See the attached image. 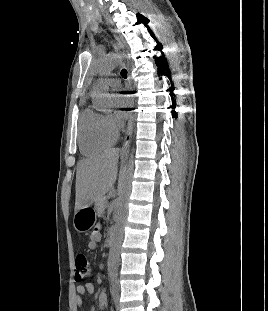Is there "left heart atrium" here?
Here are the masks:
<instances>
[{"instance_id":"1","label":"left heart atrium","mask_w":268,"mask_h":311,"mask_svg":"<svg viewBox=\"0 0 268 311\" xmlns=\"http://www.w3.org/2000/svg\"><path fill=\"white\" fill-rule=\"evenodd\" d=\"M114 97H127V95L124 94H115ZM130 102H119L118 106H125V105H129ZM122 116H124L123 114H121Z\"/></svg>"}]
</instances>
